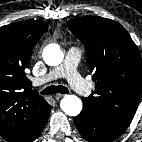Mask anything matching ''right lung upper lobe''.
Wrapping results in <instances>:
<instances>
[{
	"instance_id": "right-lung-upper-lobe-1",
	"label": "right lung upper lobe",
	"mask_w": 142,
	"mask_h": 142,
	"mask_svg": "<svg viewBox=\"0 0 142 142\" xmlns=\"http://www.w3.org/2000/svg\"><path fill=\"white\" fill-rule=\"evenodd\" d=\"M48 30L43 21H20L0 27V135L9 142H28L50 105L32 91L26 77L33 47Z\"/></svg>"
}]
</instances>
